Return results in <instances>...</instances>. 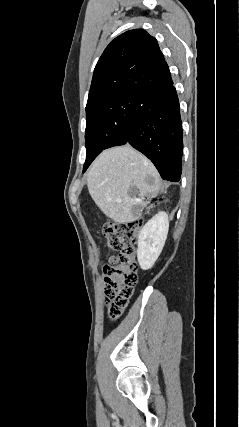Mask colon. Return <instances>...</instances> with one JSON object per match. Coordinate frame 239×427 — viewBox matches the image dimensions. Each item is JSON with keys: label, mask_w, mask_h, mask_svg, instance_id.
I'll use <instances>...</instances> for the list:
<instances>
[{"label": "colon", "mask_w": 239, "mask_h": 427, "mask_svg": "<svg viewBox=\"0 0 239 427\" xmlns=\"http://www.w3.org/2000/svg\"><path fill=\"white\" fill-rule=\"evenodd\" d=\"M141 226L142 221L137 220L129 223H106L102 229L108 247L117 252L103 266L108 316L111 319L121 316L137 284L135 244Z\"/></svg>", "instance_id": "5ec220e1"}]
</instances>
